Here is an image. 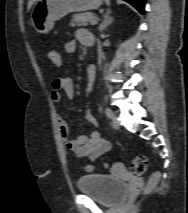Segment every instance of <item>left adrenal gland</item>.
Here are the masks:
<instances>
[{"mask_svg": "<svg viewBox=\"0 0 188 213\" xmlns=\"http://www.w3.org/2000/svg\"><path fill=\"white\" fill-rule=\"evenodd\" d=\"M111 10H107V12L104 15V19L102 23L99 26V30L102 32L110 23H112L113 18L110 17Z\"/></svg>", "mask_w": 188, "mask_h": 213, "instance_id": "obj_1", "label": "left adrenal gland"}]
</instances>
